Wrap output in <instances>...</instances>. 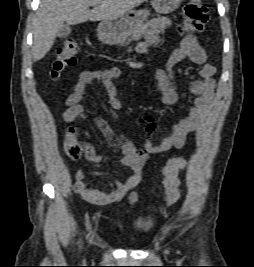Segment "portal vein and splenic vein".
I'll list each match as a JSON object with an SVG mask.
<instances>
[{
    "mask_svg": "<svg viewBox=\"0 0 254 267\" xmlns=\"http://www.w3.org/2000/svg\"><path fill=\"white\" fill-rule=\"evenodd\" d=\"M92 5L95 6V5H97V3H93Z\"/></svg>",
    "mask_w": 254,
    "mask_h": 267,
    "instance_id": "obj_1",
    "label": "portal vein and splenic vein"
}]
</instances>
